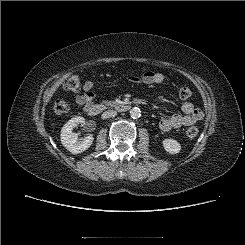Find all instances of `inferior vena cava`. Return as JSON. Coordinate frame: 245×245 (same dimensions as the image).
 Instances as JSON below:
<instances>
[{"instance_id":"obj_1","label":"inferior vena cava","mask_w":245,"mask_h":245,"mask_svg":"<svg viewBox=\"0 0 245 245\" xmlns=\"http://www.w3.org/2000/svg\"><path fill=\"white\" fill-rule=\"evenodd\" d=\"M116 114L117 112L115 110H108V111L103 112L101 118L107 119V118L116 116Z\"/></svg>"}]
</instances>
